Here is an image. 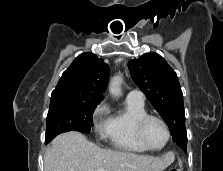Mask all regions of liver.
Returning a JSON list of instances; mask_svg holds the SVG:
<instances>
[{
    "mask_svg": "<svg viewBox=\"0 0 223 171\" xmlns=\"http://www.w3.org/2000/svg\"><path fill=\"white\" fill-rule=\"evenodd\" d=\"M174 161L167 153L160 158L132 152L102 149L79 132L57 136L44 156V171H163Z\"/></svg>",
    "mask_w": 223,
    "mask_h": 171,
    "instance_id": "6515ba94",
    "label": "liver"
}]
</instances>
